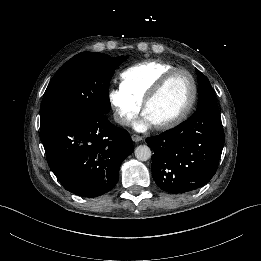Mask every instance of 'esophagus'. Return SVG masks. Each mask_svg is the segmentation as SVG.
Instances as JSON below:
<instances>
[{
	"label": "esophagus",
	"mask_w": 261,
	"mask_h": 261,
	"mask_svg": "<svg viewBox=\"0 0 261 261\" xmlns=\"http://www.w3.org/2000/svg\"><path fill=\"white\" fill-rule=\"evenodd\" d=\"M131 138H132V140H133L134 142H139V141H141V140L143 139L142 136L137 135V134H133V135L131 136Z\"/></svg>",
	"instance_id": "1"
}]
</instances>
